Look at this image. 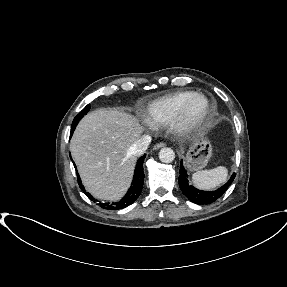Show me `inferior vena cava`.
<instances>
[{
    "label": "inferior vena cava",
    "instance_id": "1",
    "mask_svg": "<svg viewBox=\"0 0 287 287\" xmlns=\"http://www.w3.org/2000/svg\"><path fill=\"white\" fill-rule=\"evenodd\" d=\"M150 142H151V136L149 135L142 136L130 147L131 154L137 156L144 154Z\"/></svg>",
    "mask_w": 287,
    "mask_h": 287
}]
</instances>
